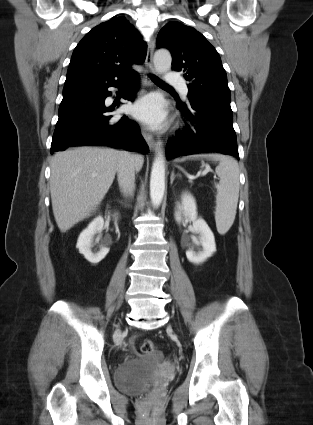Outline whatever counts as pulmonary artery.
I'll return each mask as SVG.
<instances>
[{
    "label": "pulmonary artery",
    "mask_w": 313,
    "mask_h": 425,
    "mask_svg": "<svg viewBox=\"0 0 313 425\" xmlns=\"http://www.w3.org/2000/svg\"><path fill=\"white\" fill-rule=\"evenodd\" d=\"M165 78L168 85H178L181 87L184 96L188 94V88L183 84V79L178 73L168 71Z\"/></svg>",
    "instance_id": "1"
}]
</instances>
